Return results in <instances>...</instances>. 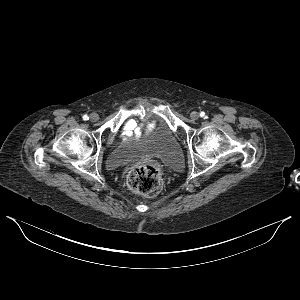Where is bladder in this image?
Masks as SVG:
<instances>
[{"label": "bladder", "instance_id": "bladder-1", "mask_svg": "<svg viewBox=\"0 0 300 300\" xmlns=\"http://www.w3.org/2000/svg\"><path fill=\"white\" fill-rule=\"evenodd\" d=\"M123 149L128 153L145 156H161L172 166L182 162V150L177 137L165 124L157 122L150 133L139 141H127ZM112 169H117L121 161L113 156L108 158Z\"/></svg>", "mask_w": 300, "mask_h": 300}]
</instances>
